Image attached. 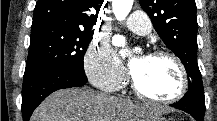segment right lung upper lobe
<instances>
[{"label":"right lung upper lobe","instance_id":"cb5924a9","mask_svg":"<svg viewBox=\"0 0 217 121\" xmlns=\"http://www.w3.org/2000/svg\"><path fill=\"white\" fill-rule=\"evenodd\" d=\"M104 0H38L33 25L54 22L92 29Z\"/></svg>","mask_w":217,"mask_h":121}]
</instances>
